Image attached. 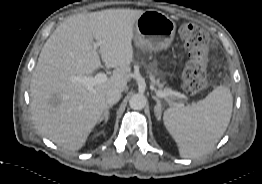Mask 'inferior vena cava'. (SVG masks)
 Instances as JSON below:
<instances>
[{
  "mask_svg": "<svg viewBox=\"0 0 262 184\" xmlns=\"http://www.w3.org/2000/svg\"><path fill=\"white\" fill-rule=\"evenodd\" d=\"M121 98V91L118 89H112L107 92L106 94V103L107 104H115L117 103Z\"/></svg>",
  "mask_w": 262,
  "mask_h": 184,
  "instance_id": "inferior-vena-cava-1",
  "label": "inferior vena cava"
}]
</instances>
